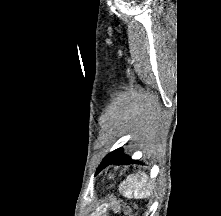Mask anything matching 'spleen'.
Returning <instances> with one entry per match:
<instances>
[{
    "label": "spleen",
    "instance_id": "obj_1",
    "mask_svg": "<svg viewBox=\"0 0 221 216\" xmlns=\"http://www.w3.org/2000/svg\"><path fill=\"white\" fill-rule=\"evenodd\" d=\"M141 177L131 175L127 177V182H123L120 186L123 194L128 198H142L151 193V185L147 183L148 177L145 173H140ZM127 185V186H125ZM147 187V188H146ZM133 193V194H132Z\"/></svg>",
    "mask_w": 221,
    "mask_h": 216
}]
</instances>
